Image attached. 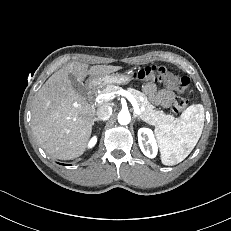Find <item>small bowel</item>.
Returning a JSON list of instances; mask_svg holds the SVG:
<instances>
[{"instance_id":"obj_1","label":"small bowel","mask_w":231,"mask_h":231,"mask_svg":"<svg viewBox=\"0 0 231 231\" xmlns=\"http://www.w3.org/2000/svg\"><path fill=\"white\" fill-rule=\"evenodd\" d=\"M144 92L154 104L164 108L170 107L175 99V94L172 90L168 88L157 87L152 82L147 83L144 86Z\"/></svg>"}]
</instances>
